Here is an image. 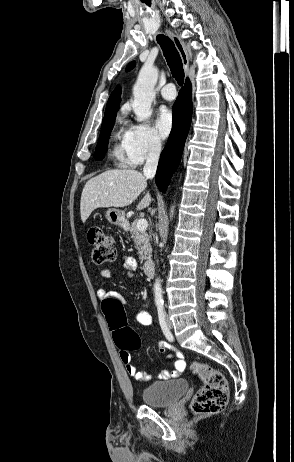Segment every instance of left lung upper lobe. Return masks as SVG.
<instances>
[{"mask_svg": "<svg viewBox=\"0 0 294 462\" xmlns=\"http://www.w3.org/2000/svg\"><path fill=\"white\" fill-rule=\"evenodd\" d=\"M134 66H135V63L132 62L131 64H129V65L127 66V70L132 69Z\"/></svg>", "mask_w": 294, "mask_h": 462, "instance_id": "5c2ea615", "label": "left lung upper lobe"}]
</instances>
